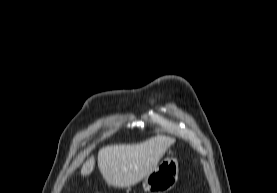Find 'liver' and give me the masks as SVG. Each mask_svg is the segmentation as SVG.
I'll return each instance as SVG.
<instances>
[{"instance_id": "1", "label": "liver", "mask_w": 277, "mask_h": 193, "mask_svg": "<svg viewBox=\"0 0 277 193\" xmlns=\"http://www.w3.org/2000/svg\"><path fill=\"white\" fill-rule=\"evenodd\" d=\"M175 139L155 136L139 144L106 146L99 150L98 167L108 185L124 188L142 180L154 170ZM95 166L91 156L82 166L81 175L92 173Z\"/></svg>"}]
</instances>
